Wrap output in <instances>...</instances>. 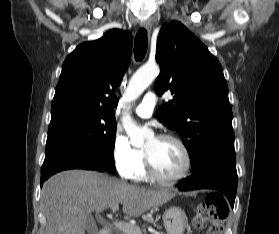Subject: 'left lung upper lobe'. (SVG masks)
<instances>
[{
  "instance_id": "5c2ea615",
  "label": "left lung upper lobe",
  "mask_w": 279,
  "mask_h": 234,
  "mask_svg": "<svg viewBox=\"0 0 279 234\" xmlns=\"http://www.w3.org/2000/svg\"><path fill=\"white\" fill-rule=\"evenodd\" d=\"M161 72L154 89H170L173 100L156 116L180 135L190 156L192 173L214 157L234 155L232 110L219 61L183 24H164L157 38Z\"/></svg>"
}]
</instances>
